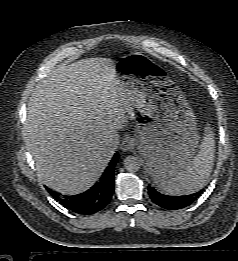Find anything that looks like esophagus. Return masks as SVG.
Returning <instances> with one entry per match:
<instances>
[{"label":"esophagus","instance_id":"obj_1","mask_svg":"<svg viewBox=\"0 0 238 261\" xmlns=\"http://www.w3.org/2000/svg\"><path fill=\"white\" fill-rule=\"evenodd\" d=\"M135 146V141L132 138H127L123 141L122 145H121V149L123 151H128V150H132L134 149Z\"/></svg>","mask_w":238,"mask_h":261}]
</instances>
